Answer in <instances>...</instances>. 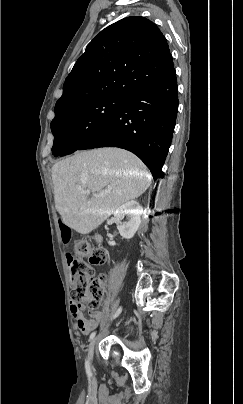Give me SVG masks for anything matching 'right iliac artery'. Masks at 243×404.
<instances>
[{"mask_svg": "<svg viewBox=\"0 0 243 404\" xmlns=\"http://www.w3.org/2000/svg\"><path fill=\"white\" fill-rule=\"evenodd\" d=\"M121 310H122V308L120 307V308L116 311V313L112 316L111 319L116 318V317L121 313ZM95 335H96V332H92L91 335H90V337H89V341H91V340L95 337ZM85 368H86L87 374H88L89 376H91L90 362H89L88 359L85 361Z\"/></svg>", "mask_w": 243, "mask_h": 404, "instance_id": "obj_1", "label": "right iliac artery"}]
</instances>
